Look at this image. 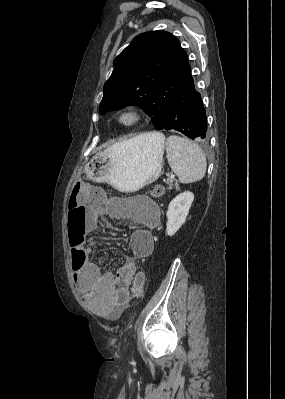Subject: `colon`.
<instances>
[{
    "label": "colon",
    "mask_w": 285,
    "mask_h": 399,
    "mask_svg": "<svg viewBox=\"0 0 285 399\" xmlns=\"http://www.w3.org/2000/svg\"><path fill=\"white\" fill-rule=\"evenodd\" d=\"M73 189H74L75 193L93 192L92 187L89 184L82 182V181L76 182ZM163 193H164V189L160 185L154 186L150 191V194L153 197H160L163 195ZM69 208H70L69 220L71 223H77V222H80V221L86 219L87 214L78 205L71 204ZM69 243L72 247L77 243V238L72 233H69ZM83 262H84L83 255L75 256L74 260L72 261L73 269L78 270L83 265ZM143 288H144V275L141 271H139L136 274L134 281H133V291H134V293L140 295L143 292Z\"/></svg>",
    "instance_id": "obj_1"
}]
</instances>
